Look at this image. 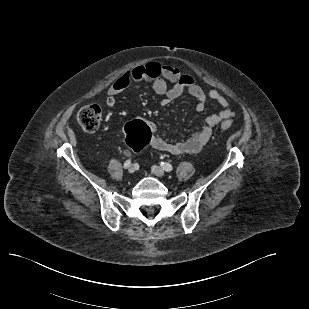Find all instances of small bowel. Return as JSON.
I'll use <instances>...</instances> for the list:
<instances>
[{"instance_id": "small-bowel-1", "label": "small bowel", "mask_w": 309, "mask_h": 309, "mask_svg": "<svg viewBox=\"0 0 309 309\" xmlns=\"http://www.w3.org/2000/svg\"><path fill=\"white\" fill-rule=\"evenodd\" d=\"M140 81L149 82L156 94L164 96V103H169L186 92L197 100V111L204 110L208 99L220 106V111L207 117L200 129L193 132L186 140L175 143L168 142L160 137L153 122H145L151 131L149 143L156 150L174 155L198 153L209 141L213 128L223 121H230L235 115L228 100L219 91L215 89L205 91L193 76L181 74L175 67L155 62L137 66L116 79L107 90L106 105L114 107L116 97L131 83ZM168 82L172 85L169 86Z\"/></svg>"}]
</instances>
